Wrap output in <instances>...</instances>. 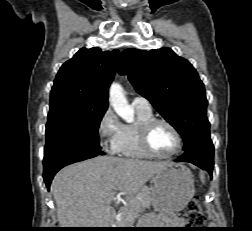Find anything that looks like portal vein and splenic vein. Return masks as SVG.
Listing matches in <instances>:
<instances>
[{
	"instance_id": "portal-vein-and-splenic-vein-1",
	"label": "portal vein and splenic vein",
	"mask_w": 252,
	"mask_h": 231,
	"mask_svg": "<svg viewBox=\"0 0 252 231\" xmlns=\"http://www.w3.org/2000/svg\"><path fill=\"white\" fill-rule=\"evenodd\" d=\"M115 200H116L115 194H111L110 196H108V198H106V204H110Z\"/></svg>"
}]
</instances>
